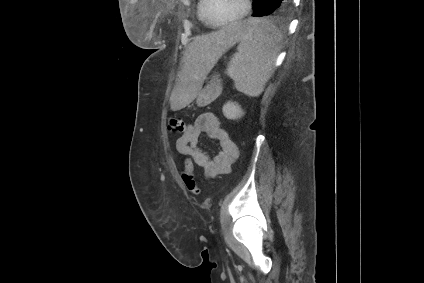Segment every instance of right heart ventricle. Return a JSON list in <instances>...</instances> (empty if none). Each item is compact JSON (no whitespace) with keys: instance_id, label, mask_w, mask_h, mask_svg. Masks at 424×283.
I'll list each match as a JSON object with an SVG mask.
<instances>
[{"instance_id":"1","label":"right heart ventricle","mask_w":424,"mask_h":283,"mask_svg":"<svg viewBox=\"0 0 424 283\" xmlns=\"http://www.w3.org/2000/svg\"><path fill=\"white\" fill-rule=\"evenodd\" d=\"M203 5H204V0H198L197 3V16L199 18L200 21L204 22L203 20Z\"/></svg>"}]
</instances>
